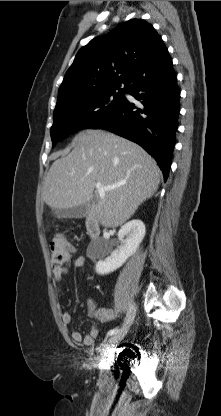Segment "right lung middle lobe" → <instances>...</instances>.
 Segmentation results:
<instances>
[{
    "label": "right lung middle lobe",
    "mask_w": 221,
    "mask_h": 416,
    "mask_svg": "<svg viewBox=\"0 0 221 416\" xmlns=\"http://www.w3.org/2000/svg\"><path fill=\"white\" fill-rule=\"evenodd\" d=\"M127 89L97 92L77 100L57 105L51 127L52 145L69 135L110 119L125 101Z\"/></svg>",
    "instance_id": "1"
}]
</instances>
